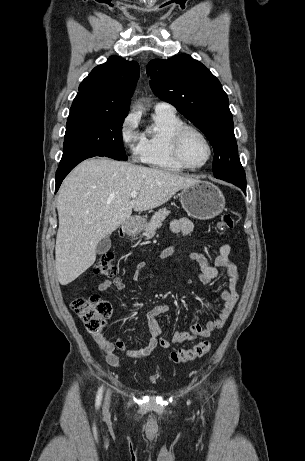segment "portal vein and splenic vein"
<instances>
[{
    "label": "portal vein and splenic vein",
    "instance_id": "portal-vein-and-splenic-vein-1",
    "mask_svg": "<svg viewBox=\"0 0 305 461\" xmlns=\"http://www.w3.org/2000/svg\"><path fill=\"white\" fill-rule=\"evenodd\" d=\"M131 198H136L138 196V193L137 192H131L130 194Z\"/></svg>",
    "mask_w": 305,
    "mask_h": 461
}]
</instances>
